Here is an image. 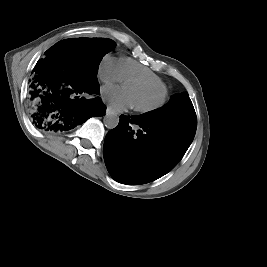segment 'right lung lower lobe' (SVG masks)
<instances>
[{
	"label": "right lung lower lobe",
	"instance_id": "98d812e1",
	"mask_svg": "<svg viewBox=\"0 0 267 267\" xmlns=\"http://www.w3.org/2000/svg\"><path fill=\"white\" fill-rule=\"evenodd\" d=\"M29 95V113L33 124L49 132L74 129L91 117L105 114L99 97L79 98L81 94H98L99 83H86L55 59H40L34 69Z\"/></svg>",
	"mask_w": 267,
	"mask_h": 267
}]
</instances>
